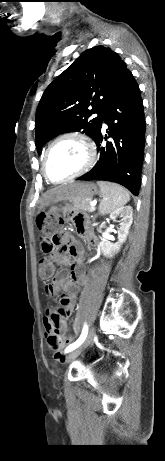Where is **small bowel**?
<instances>
[{"label": "small bowel", "instance_id": "obj_1", "mask_svg": "<svg viewBox=\"0 0 165 461\" xmlns=\"http://www.w3.org/2000/svg\"><path fill=\"white\" fill-rule=\"evenodd\" d=\"M58 217H71V223L75 226L79 236L84 238L90 244H95L94 236L88 232L85 222L84 209H70L69 204H59L55 211ZM74 259L70 263V257ZM50 258L53 262L61 265H70V271L61 270L54 275L52 283L46 286V292L50 296H56L61 291L64 293L60 298V306L55 310H48L44 317V328L46 336L56 334L60 340H70L71 337L66 336L67 321L71 317L76 304V298L81 285L86 277L82 270L83 252L80 245L75 240H70V251L66 254L59 250L51 252ZM56 356L60 357V352H56Z\"/></svg>", "mask_w": 165, "mask_h": 461}]
</instances>
